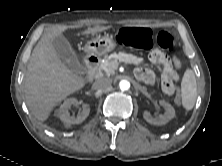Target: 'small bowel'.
<instances>
[{
  "mask_svg": "<svg viewBox=\"0 0 222 166\" xmlns=\"http://www.w3.org/2000/svg\"><path fill=\"white\" fill-rule=\"evenodd\" d=\"M150 59L154 63L158 64L162 68V88L163 91L171 95L174 92L173 87H165L163 85V80L165 77H170L172 80H176L178 78V75L176 73V70L180 67V61L177 58H174L173 60H170L163 52L161 51H153L150 54ZM136 77L148 84H151L155 81V75L154 73L147 68H137L135 71Z\"/></svg>",
  "mask_w": 222,
  "mask_h": 166,
  "instance_id": "1",
  "label": "small bowel"
}]
</instances>
